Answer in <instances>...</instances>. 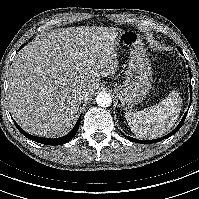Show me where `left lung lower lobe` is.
Masks as SVG:
<instances>
[{
    "mask_svg": "<svg viewBox=\"0 0 199 199\" xmlns=\"http://www.w3.org/2000/svg\"><path fill=\"white\" fill-rule=\"evenodd\" d=\"M178 50L182 53V51H181L180 48H178ZM189 74H190V77H191V70H190V68H189ZM190 88H191V83H190ZM190 90H191V97H192V88ZM191 101H192V98L190 99V104H191ZM189 107H190V105H189ZM186 115H187V112L185 113L183 119L181 120V122L178 124V126L176 127V129L173 132H171L170 134H168V135H166V136H164L162 138L155 139V140L141 141V140H137L135 138L127 136V139H129L130 141H133V142H137V143H155V142H159V141H161V140L169 137L170 135L175 134L181 128V126L183 125L184 120L186 118Z\"/></svg>",
    "mask_w": 199,
    "mask_h": 199,
    "instance_id": "1",
    "label": "left lung lower lobe"
}]
</instances>
